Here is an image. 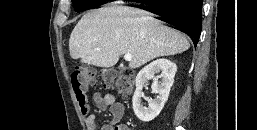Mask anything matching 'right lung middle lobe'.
Listing matches in <instances>:
<instances>
[{"label":"right lung middle lobe","mask_w":257,"mask_h":130,"mask_svg":"<svg viewBox=\"0 0 257 130\" xmlns=\"http://www.w3.org/2000/svg\"><path fill=\"white\" fill-rule=\"evenodd\" d=\"M74 8L77 12L91 9L100 6L106 2V0H72Z\"/></svg>","instance_id":"1"}]
</instances>
